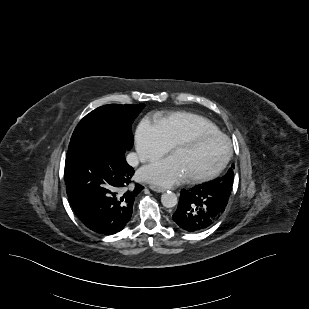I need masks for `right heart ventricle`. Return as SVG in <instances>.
<instances>
[{"label": "right heart ventricle", "mask_w": 309, "mask_h": 309, "mask_svg": "<svg viewBox=\"0 0 309 309\" xmlns=\"http://www.w3.org/2000/svg\"><path fill=\"white\" fill-rule=\"evenodd\" d=\"M156 123L160 126L170 145L195 131L220 132L219 128L206 117L187 111H177L159 116Z\"/></svg>", "instance_id": "1"}]
</instances>
